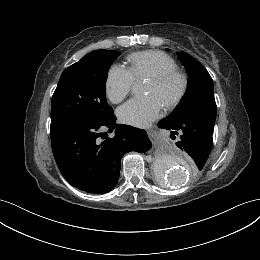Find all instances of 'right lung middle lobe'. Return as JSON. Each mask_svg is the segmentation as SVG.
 Wrapping results in <instances>:
<instances>
[{"instance_id":"dd1d6c3e","label":"right lung middle lobe","mask_w":260,"mask_h":260,"mask_svg":"<svg viewBox=\"0 0 260 260\" xmlns=\"http://www.w3.org/2000/svg\"><path fill=\"white\" fill-rule=\"evenodd\" d=\"M119 54L95 50L63 71L52 96L51 127L70 122L99 123L113 114L106 100V80Z\"/></svg>"}]
</instances>
